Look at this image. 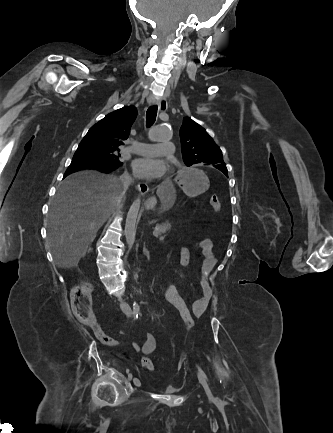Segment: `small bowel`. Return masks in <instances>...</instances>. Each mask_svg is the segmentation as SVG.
Listing matches in <instances>:
<instances>
[{"label":"small bowel","mask_w":333,"mask_h":433,"mask_svg":"<svg viewBox=\"0 0 333 433\" xmlns=\"http://www.w3.org/2000/svg\"><path fill=\"white\" fill-rule=\"evenodd\" d=\"M196 247L200 250V258H201V280H200L201 293L193 301L192 312L195 316L201 317L205 314L212 298V287L207 277L209 273L214 269L217 263V259L213 252V243L210 239H203L199 241L196 244ZM190 259L191 256L189 250L186 248H180L178 251V260L180 265L182 267H187L190 263ZM180 296L183 297L186 303L190 299L189 296H183L181 294ZM92 330L95 337L101 343L109 347H117L119 345L118 341L108 336L103 331V329L99 324L97 323L94 324L92 326ZM132 349L134 350V352H141L145 356L151 355L156 349V339L152 334L147 333L144 335V339L142 343H139L138 341H134L132 343Z\"/></svg>","instance_id":"obj_1"}]
</instances>
